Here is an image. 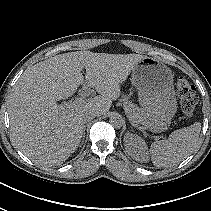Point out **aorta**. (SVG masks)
<instances>
[{"label": "aorta", "mask_w": 211, "mask_h": 211, "mask_svg": "<svg viewBox=\"0 0 211 211\" xmlns=\"http://www.w3.org/2000/svg\"><path fill=\"white\" fill-rule=\"evenodd\" d=\"M109 122L116 128H120L123 125V119L119 114L112 115L109 119Z\"/></svg>", "instance_id": "762f6f07"}]
</instances>
